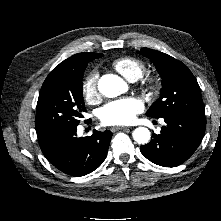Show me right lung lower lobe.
Here are the masks:
<instances>
[{"mask_svg":"<svg viewBox=\"0 0 221 221\" xmlns=\"http://www.w3.org/2000/svg\"><path fill=\"white\" fill-rule=\"evenodd\" d=\"M76 131L77 126L52 130L39 135L38 142L57 169L68 175L84 176L105 160L113 133L94 131L90 137L78 138Z\"/></svg>","mask_w":221,"mask_h":221,"instance_id":"98d812e1","label":"right lung lower lobe"}]
</instances>
